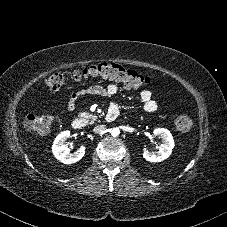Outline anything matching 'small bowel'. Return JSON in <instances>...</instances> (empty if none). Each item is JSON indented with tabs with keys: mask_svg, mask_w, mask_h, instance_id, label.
<instances>
[{
	"mask_svg": "<svg viewBox=\"0 0 227 227\" xmlns=\"http://www.w3.org/2000/svg\"><path fill=\"white\" fill-rule=\"evenodd\" d=\"M118 91V86L116 84H110L107 87H102L99 85L91 86L87 89L77 90L72 92L68 97L64 98V103L66 104L69 111H73L76 106V102L79 97L86 95H98L105 97H112ZM140 99L144 105V109L148 113H153L157 110L158 105L155 100L152 98V94L148 90H143L140 93ZM111 109H115L118 112L117 105L113 104Z\"/></svg>",
	"mask_w": 227,
	"mask_h": 227,
	"instance_id": "1",
	"label": "small bowel"
}]
</instances>
